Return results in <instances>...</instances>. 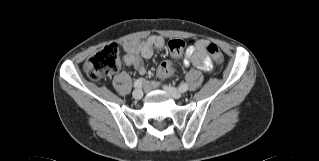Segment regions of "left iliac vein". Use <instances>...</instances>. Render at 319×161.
Masks as SVG:
<instances>
[{"instance_id": "obj_1", "label": "left iliac vein", "mask_w": 319, "mask_h": 161, "mask_svg": "<svg viewBox=\"0 0 319 161\" xmlns=\"http://www.w3.org/2000/svg\"><path fill=\"white\" fill-rule=\"evenodd\" d=\"M163 88L166 92H168L175 99H179L182 97V93L174 87L165 85V86H163Z\"/></svg>"}]
</instances>
